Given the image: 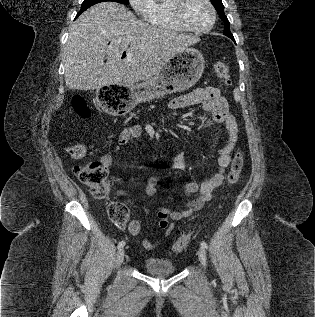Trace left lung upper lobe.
Listing matches in <instances>:
<instances>
[{"label": "left lung upper lobe", "instance_id": "1", "mask_svg": "<svg viewBox=\"0 0 315 317\" xmlns=\"http://www.w3.org/2000/svg\"><path fill=\"white\" fill-rule=\"evenodd\" d=\"M210 1L212 2V4L214 5L215 9L217 10V13L219 14L220 18L225 23L223 34L228 36L229 38H232V40H233L234 39L233 34L231 33V31L229 29V21H228L227 17L224 14V6H223V3H222V0H210ZM233 41H235V39Z\"/></svg>", "mask_w": 315, "mask_h": 317}]
</instances>
